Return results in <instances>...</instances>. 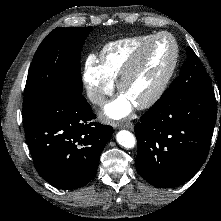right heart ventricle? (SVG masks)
Returning <instances> with one entry per match:
<instances>
[{
    "mask_svg": "<svg viewBox=\"0 0 221 221\" xmlns=\"http://www.w3.org/2000/svg\"><path fill=\"white\" fill-rule=\"evenodd\" d=\"M154 34L127 37L110 42L100 53V67L113 82L117 81L137 50Z\"/></svg>",
    "mask_w": 221,
    "mask_h": 221,
    "instance_id": "right-heart-ventricle-1",
    "label": "right heart ventricle"
}]
</instances>
